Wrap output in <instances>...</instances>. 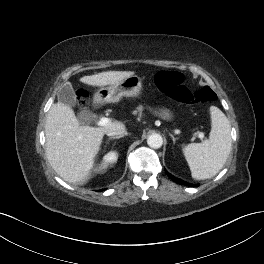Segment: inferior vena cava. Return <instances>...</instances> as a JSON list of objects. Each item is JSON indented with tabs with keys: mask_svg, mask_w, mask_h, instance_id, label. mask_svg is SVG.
<instances>
[{
	"mask_svg": "<svg viewBox=\"0 0 264 264\" xmlns=\"http://www.w3.org/2000/svg\"><path fill=\"white\" fill-rule=\"evenodd\" d=\"M127 131L125 129H118V130H110L107 132L108 136H119V135H126Z\"/></svg>",
	"mask_w": 264,
	"mask_h": 264,
	"instance_id": "602c4592",
	"label": "inferior vena cava"
}]
</instances>
